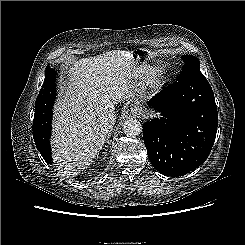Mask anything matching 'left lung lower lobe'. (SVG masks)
Returning <instances> with one entry per match:
<instances>
[{
    "mask_svg": "<svg viewBox=\"0 0 245 245\" xmlns=\"http://www.w3.org/2000/svg\"><path fill=\"white\" fill-rule=\"evenodd\" d=\"M149 104L158 112L143 124L148 158L165 176H183L207 159L213 147L218 112L214 93L202 73L175 81Z\"/></svg>",
    "mask_w": 245,
    "mask_h": 245,
    "instance_id": "left-lung-lower-lobe-1",
    "label": "left lung lower lobe"
}]
</instances>
